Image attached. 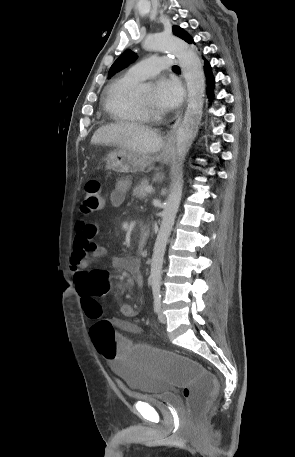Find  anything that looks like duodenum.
Returning <instances> with one entry per match:
<instances>
[{
    "label": "duodenum",
    "instance_id": "duodenum-1",
    "mask_svg": "<svg viewBox=\"0 0 295 457\" xmlns=\"http://www.w3.org/2000/svg\"><path fill=\"white\" fill-rule=\"evenodd\" d=\"M149 234V229L146 226L142 225L139 232V249H143L145 247L149 238Z\"/></svg>",
    "mask_w": 295,
    "mask_h": 457
}]
</instances>
